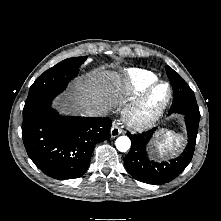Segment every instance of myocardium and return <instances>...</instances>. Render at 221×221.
<instances>
[{
	"instance_id": "obj_1",
	"label": "myocardium",
	"mask_w": 221,
	"mask_h": 221,
	"mask_svg": "<svg viewBox=\"0 0 221 221\" xmlns=\"http://www.w3.org/2000/svg\"><path fill=\"white\" fill-rule=\"evenodd\" d=\"M166 86L167 91L161 99H157L156 91ZM173 95L171 85L165 81L153 83L143 94L138 103L126 114V120L134 129L141 130L152 126L163 114Z\"/></svg>"
}]
</instances>
